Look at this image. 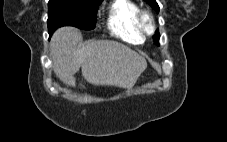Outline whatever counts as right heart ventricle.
Segmentation results:
<instances>
[{
	"instance_id": "right-heart-ventricle-1",
	"label": "right heart ventricle",
	"mask_w": 227,
	"mask_h": 142,
	"mask_svg": "<svg viewBox=\"0 0 227 142\" xmlns=\"http://www.w3.org/2000/svg\"><path fill=\"white\" fill-rule=\"evenodd\" d=\"M141 10L134 0H112L107 11L108 30L122 40L138 44L144 39L138 17Z\"/></svg>"
}]
</instances>
